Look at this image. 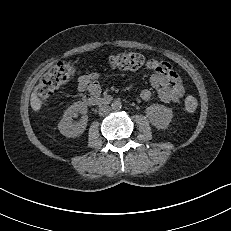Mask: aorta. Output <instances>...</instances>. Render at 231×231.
I'll return each instance as SVG.
<instances>
[{
  "label": "aorta",
  "mask_w": 231,
  "mask_h": 231,
  "mask_svg": "<svg viewBox=\"0 0 231 231\" xmlns=\"http://www.w3.org/2000/svg\"><path fill=\"white\" fill-rule=\"evenodd\" d=\"M111 107L113 110H120L122 107V103L120 102V100H115L112 102Z\"/></svg>",
  "instance_id": "1"
}]
</instances>
